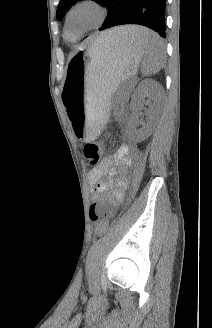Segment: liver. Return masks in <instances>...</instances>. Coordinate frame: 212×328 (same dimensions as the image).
I'll return each instance as SVG.
<instances>
[{"mask_svg":"<svg viewBox=\"0 0 212 328\" xmlns=\"http://www.w3.org/2000/svg\"><path fill=\"white\" fill-rule=\"evenodd\" d=\"M133 26H122L113 28L111 30H108L106 32H103L100 34V36L97 38V40H104V39H123V40H131V33L133 31Z\"/></svg>","mask_w":212,"mask_h":328,"instance_id":"obj_1","label":"liver"}]
</instances>
